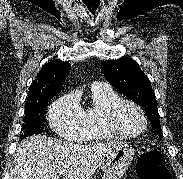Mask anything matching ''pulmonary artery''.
Instances as JSON below:
<instances>
[{
	"label": "pulmonary artery",
	"instance_id": "e3ab8cb5",
	"mask_svg": "<svg viewBox=\"0 0 183 179\" xmlns=\"http://www.w3.org/2000/svg\"><path fill=\"white\" fill-rule=\"evenodd\" d=\"M109 86L105 83L101 82H94L92 85V88L97 89V88H108Z\"/></svg>",
	"mask_w": 183,
	"mask_h": 179
}]
</instances>
